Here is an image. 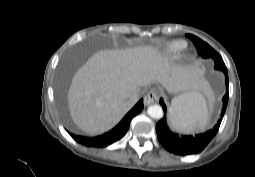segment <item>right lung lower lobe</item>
<instances>
[{
	"instance_id": "98d812e1",
	"label": "right lung lower lobe",
	"mask_w": 255,
	"mask_h": 177,
	"mask_svg": "<svg viewBox=\"0 0 255 177\" xmlns=\"http://www.w3.org/2000/svg\"><path fill=\"white\" fill-rule=\"evenodd\" d=\"M143 109V100L141 99L122 119V121L111 131L97 136V137H84L70 134L78 143L87 147L103 148L121 139L127 132L130 122Z\"/></svg>"
}]
</instances>
